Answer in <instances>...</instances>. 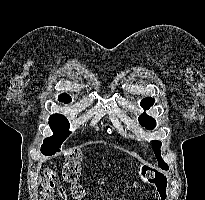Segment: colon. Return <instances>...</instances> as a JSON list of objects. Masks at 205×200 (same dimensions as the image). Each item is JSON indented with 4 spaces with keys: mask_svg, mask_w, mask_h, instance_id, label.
Returning a JSON list of instances; mask_svg holds the SVG:
<instances>
[{
    "mask_svg": "<svg viewBox=\"0 0 205 200\" xmlns=\"http://www.w3.org/2000/svg\"><path fill=\"white\" fill-rule=\"evenodd\" d=\"M81 163L82 153L80 150L70 149L64 154L62 176L71 185L73 200H81L83 197V189L79 184ZM139 176L142 183L153 186L162 197V200L166 199L168 181L164 174L154 168L142 166L139 170ZM41 189L40 200H55L56 171L52 166L43 171Z\"/></svg>",
    "mask_w": 205,
    "mask_h": 200,
    "instance_id": "obj_1",
    "label": "colon"
}]
</instances>
